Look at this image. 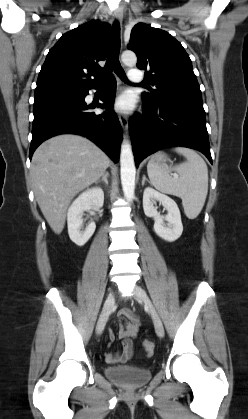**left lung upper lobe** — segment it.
Masks as SVG:
<instances>
[{
  "mask_svg": "<svg viewBox=\"0 0 248 419\" xmlns=\"http://www.w3.org/2000/svg\"><path fill=\"white\" fill-rule=\"evenodd\" d=\"M128 49L136 53L137 67L147 70L145 78L154 86L142 93L143 102L202 100L189 55L168 32L138 23L131 31Z\"/></svg>",
  "mask_w": 248,
  "mask_h": 419,
  "instance_id": "obj_1",
  "label": "left lung upper lobe"
}]
</instances>
